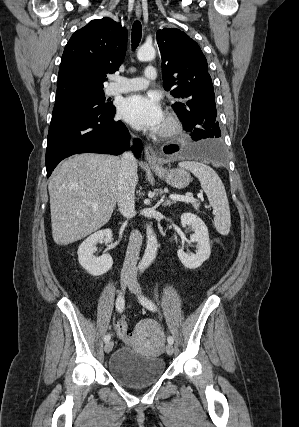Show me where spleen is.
Returning <instances> with one entry per match:
<instances>
[{
    "label": "spleen",
    "mask_w": 299,
    "mask_h": 427,
    "mask_svg": "<svg viewBox=\"0 0 299 427\" xmlns=\"http://www.w3.org/2000/svg\"><path fill=\"white\" fill-rule=\"evenodd\" d=\"M179 167L189 170L199 179L201 188L207 195L215 211L214 226L223 236L229 234L231 216L225 187L218 174L208 165L197 161H184Z\"/></svg>",
    "instance_id": "obj_1"
}]
</instances>
